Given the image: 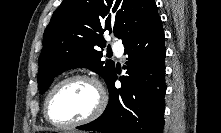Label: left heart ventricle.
Listing matches in <instances>:
<instances>
[{
    "instance_id": "obj_1",
    "label": "left heart ventricle",
    "mask_w": 221,
    "mask_h": 133,
    "mask_svg": "<svg viewBox=\"0 0 221 133\" xmlns=\"http://www.w3.org/2000/svg\"><path fill=\"white\" fill-rule=\"evenodd\" d=\"M97 99L93 84L81 80L71 81L52 94L48 105L49 115L59 123L76 121L92 112Z\"/></svg>"
}]
</instances>
